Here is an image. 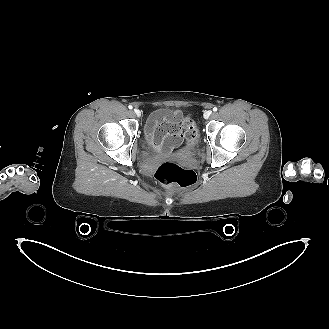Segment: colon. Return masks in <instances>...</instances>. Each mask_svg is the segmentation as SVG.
<instances>
[{
    "instance_id": "1",
    "label": "colon",
    "mask_w": 329,
    "mask_h": 329,
    "mask_svg": "<svg viewBox=\"0 0 329 329\" xmlns=\"http://www.w3.org/2000/svg\"><path fill=\"white\" fill-rule=\"evenodd\" d=\"M196 120L192 116H186L182 126L189 144L198 139L199 133L195 128ZM155 178L170 188H188L197 183V175L191 169L183 168L173 162L161 163L154 172Z\"/></svg>"
}]
</instances>
